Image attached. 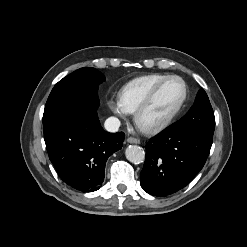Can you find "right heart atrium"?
<instances>
[{
  "instance_id": "1",
  "label": "right heart atrium",
  "mask_w": 247,
  "mask_h": 247,
  "mask_svg": "<svg viewBox=\"0 0 247 247\" xmlns=\"http://www.w3.org/2000/svg\"><path fill=\"white\" fill-rule=\"evenodd\" d=\"M108 107L110 110L118 116L125 117L127 112L122 107L119 99L110 98L108 100Z\"/></svg>"
}]
</instances>
